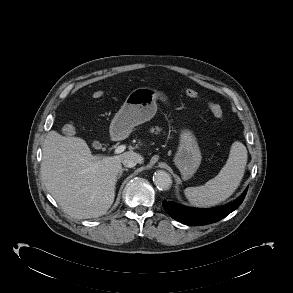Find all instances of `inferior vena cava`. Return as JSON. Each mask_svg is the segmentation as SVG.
<instances>
[{"label":"inferior vena cava","mask_w":293,"mask_h":293,"mask_svg":"<svg viewBox=\"0 0 293 293\" xmlns=\"http://www.w3.org/2000/svg\"><path fill=\"white\" fill-rule=\"evenodd\" d=\"M139 162V157L135 153H127L122 159V164L128 168L134 167Z\"/></svg>","instance_id":"inferior-vena-cava-1"}]
</instances>
